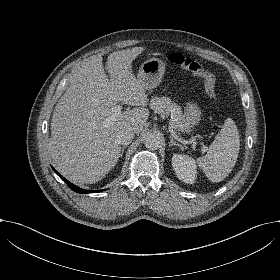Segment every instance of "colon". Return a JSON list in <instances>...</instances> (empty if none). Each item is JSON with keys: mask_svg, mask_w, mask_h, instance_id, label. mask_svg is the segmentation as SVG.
I'll list each match as a JSON object with an SVG mask.
<instances>
[{"mask_svg": "<svg viewBox=\"0 0 280 280\" xmlns=\"http://www.w3.org/2000/svg\"><path fill=\"white\" fill-rule=\"evenodd\" d=\"M173 61L179 66H184L186 70L201 75L207 97L212 101L217 100L216 79L198 61L184 57H177Z\"/></svg>", "mask_w": 280, "mask_h": 280, "instance_id": "5ec220e1", "label": "colon"}]
</instances>
